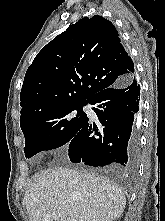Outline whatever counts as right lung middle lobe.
I'll return each instance as SVG.
<instances>
[{
	"label": "right lung middle lobe",
	"mask_w": 165,
	"mask_h": 221,
	"mask_svg": "<svg viewBox=\"0 0 165 221\" xmlns=\"http://www.w3.org/2000/svg\"><path fill=\"white\" fill-rule=\"evenodd\" d=\"M86 104L48 110L20 123L25 137L26 157L30 158L40 151L55 149L70 142L88 119L83 112Z\"/></svg>",
	"instance_id": "1"
}]
</instances>
